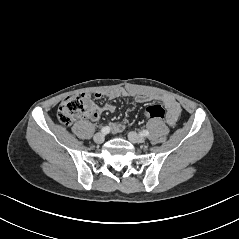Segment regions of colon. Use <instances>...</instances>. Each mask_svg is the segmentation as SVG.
I'll return each mask as SVG.
<instances>
[{"label": "colon", "instance_id": "1", "mask_svg": "<svg viewBox=\"0 0 239 239\" xmlns=\"http://www.w3.org/2000/svg\"><path fill=\"white\" fill-rule=\"evenodd\" d=\"M95 110L96 107L88 95L76 93L67 96L60 103L57 117L63 125L68 126L78 117L92 116ZM144 113L149 119H163L166 116L165 109L158 104L147 106Z\"/></svg>", "mask_w": 239, "mask_h": 239}]
</instances>
